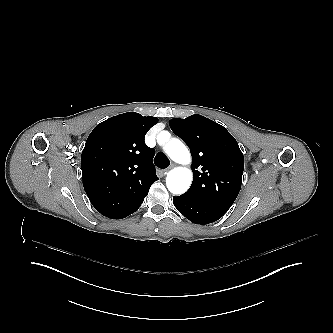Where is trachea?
Listing matches in <instances>:
<instances>
[{
    "label": "trachea",
    "mask_w": 333,
    "mask_h": 333,
    "mask_svg": "<svg viewBox=\"0 0 333 333\" xmlns=\"http://www.w3.org/2000/svg\"><path fill=\"white\" fill-rule=\"evenodd\" d=\"M154 163L157 167L164 169L169 166L170 161L163 153H158L154 158Z\"/></svg>",
    "instance_id": "trachea-1"
}]
</instances>
